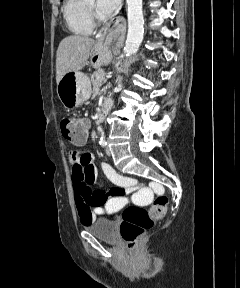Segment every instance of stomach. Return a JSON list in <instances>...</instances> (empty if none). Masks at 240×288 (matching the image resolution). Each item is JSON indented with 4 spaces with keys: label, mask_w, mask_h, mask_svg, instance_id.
I'll list each match as a JSON object with an SVG mask.
<instances>
[{
    "label": "stomach",
    "mask_w": 240,
    "mask_h": 288,
    "mask_svg": "<svg viewBox=\"0 0 240 288\" xmlns=\"http://www.w3.org/2000/svg\"><path fill=\"white\" fill-rule=\"evenodd\" d=\"M112 59V50L108 43L99 41L95 43L89 53L88 63L94 68L108 64ZM57 94L67 109L80 106L91 95L89 77L82 72H68L57 84Z\"/></svg>",
    "instance_id": "stomach-1"
}]
</instances>
